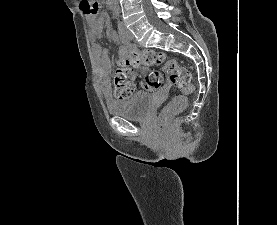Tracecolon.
I'll list each match as a JSON object with an SVG mask.
<instances>
[{"label": "colon", "mask_w": 277, "mask_h": 225, "mask_svg": "<svg viewBox=\"0 0 277 225\" xmlns=\"http://www.w3.org/2000/svg\"><path fill=\"white\" fill-rule=\"evenodd\" d=\"M81 9L86 14L94 15L99 11V5L94 0H81ZM160 67L161 70H152L145 77L144 87L149 91L160 89L167 74L172 86L181 90L161 111L159 124L165 129L170 118L182 112L193 93L190 72L175 58H168L164 53L151 49L133 51L122 56L117 62L114 75V94L116 99L123 101L129 99L135 90V73L133 67Z\"/></svg>", "instance_id": "colon-1"}]
</instances>
